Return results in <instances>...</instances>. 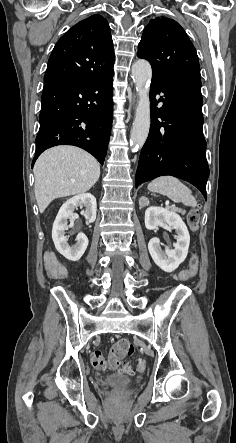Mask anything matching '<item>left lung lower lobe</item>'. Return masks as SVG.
I'll return each mask as SVG.
<instances>
[{"instance_id": "0a47b994", "label": "left lung lower lobe", "mask_w": 236, "mask_h": 443, "mask_svg": "<svg viewBox=\"0 0 236 443\" xmlns=\"http://www.w3.org/2000/svg\"><path fill=\"white\" fill-rule=\"evenodd\" d=\"M160 93L162 96L156 99ZM150 100L152 121L139 158L136 187L171 175L193 184L206 198L209 167L203 136L201 79L152 78Z\"/></svg>"}]
</instances>
